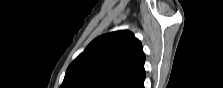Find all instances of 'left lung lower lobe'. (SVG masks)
I'll use <instances>...</instances> for the list:
<instances>
[{
  "label": "left lung lower lobe",
  "instance_id": "1",
  "mask_svg": "<svg viewBox=\"0 0 223 88\" xmlns=\"http://www.w3.org/2000/svg\"><path fill=\"white\" fill-rule=\"evenodd\" d=\"M138 88H144V85H143V83L138 87Z\"/></svg>",
  "mask_w": 223,
  "mask_h": 88
}]
</instances>
